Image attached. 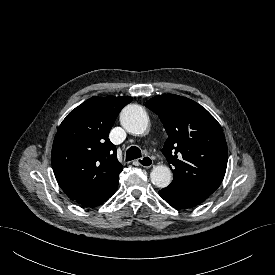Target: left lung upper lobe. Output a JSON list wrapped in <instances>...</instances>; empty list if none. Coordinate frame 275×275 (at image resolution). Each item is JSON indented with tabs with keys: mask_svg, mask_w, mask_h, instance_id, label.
Segmentation results:
<instances>
[{
	"mask_svg": "<svg viewBox=\"0 0 275 275\" xmlns=\"http://www.w3.org/2000/svg\"><path fill=\"white\" fill-rule=\"evenodd\" d=\"M145 106L159 116L168 134L162 152L173 167L170 185L215 192L228 161L226 140L217 120L198 103L174 94L157 95Z\"/></svg>",
	"mask_w": 275,
	"mask_h": 275,
	"instance_id": "1",
	"label": "left lung upper lobe"
}]
</instances>
